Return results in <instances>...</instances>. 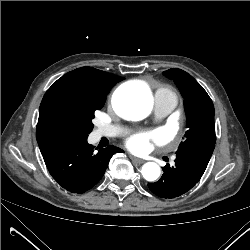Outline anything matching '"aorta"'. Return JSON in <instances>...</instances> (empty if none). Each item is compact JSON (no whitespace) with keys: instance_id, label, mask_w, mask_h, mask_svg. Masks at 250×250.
Here are the masks:
<instances>
[{"instance_id":"762f6f07","label":"aorta","mask_w":250,"mask_h":250,"mask_svg":"<svg viewBox=\"0 0 250 250\" xmlns=\"http://www.w3.org/2000/svg\"><path fill=\"white\" fill-rule=\"evenodd\" d=\"M113 105L120 116L130 120H142L151 111L150 90L143 83L123 84L115 92ZM141 173L147 181H155L160 176V167L154 162H148L142 166Z\"/></svg>"}]
</instances>
